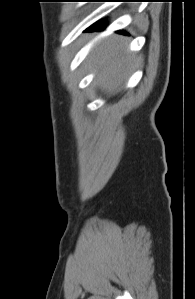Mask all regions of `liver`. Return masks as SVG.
<instances>
[{
    "mask_svg": "<svg viewBox=\"0 0 195 299\" xmlns=\"http://www.w3.org/2000/svg\"><path fill=\"white\" fill-rule=\"evenodd\" d=\"M126 43L118 36H112L102 42L89 57L92 67L97 70L99 84L110 91L128 76L134 57L125 53Z\"/></svg>",
    "mask_w": 195,
    "mask_h": 299,
    "instance_id": "1",
    "label": "liver"
}]
</instances>
